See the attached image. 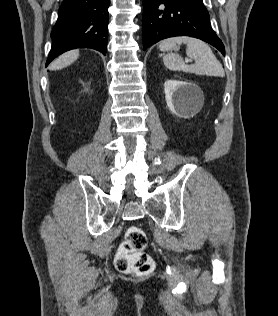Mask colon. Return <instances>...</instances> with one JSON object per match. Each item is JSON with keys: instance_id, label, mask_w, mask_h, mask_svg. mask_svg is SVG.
Instances as JSON below:
<instances>
[{"instance_id": "colon-1", "label": "colon", "mask_w": 278, "mask_h": 316, "mask_svg": "<svg viewBox=\"0 0 278 316\" xmlns=\"http://www.w3.org/2000/svg\"><path fill=\"white\" fill-rule=\"evenodd\" d=\"M147 236L138 226H130L118 248L115 267L122 273L149 274L154 269L153 259L145 252Z\"/></svg>"}]
</instances>
